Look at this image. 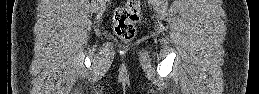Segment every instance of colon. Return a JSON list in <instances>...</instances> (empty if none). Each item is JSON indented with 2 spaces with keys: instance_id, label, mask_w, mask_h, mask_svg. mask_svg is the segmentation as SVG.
<instances>
[{
  "instance_id": "obj_1",
  "label": "colon",
  "mask_w": 259,
  "mask_h": 94,
  "mask_svg": "<svg viewBox=\"0 0 259 94\" xmlns=\"http://www.w3.org/2000/svg\"><path fill=\"white\" fill-rule=\"evenodd\" d=\"M141 18L139 0H127L125 5L116 8L114 12V31L122 40L132 39L136 32V23Z\"/></svg>"
}]
</instances>
